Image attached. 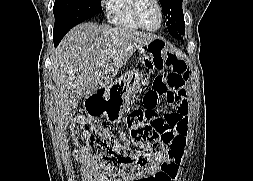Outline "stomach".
<instances>
[{
	"label": "stomach",
	"mask_w": 253,
	"mask_h": 181,
	"mask_svg": "<svg viewBox=\"0 0 253 181\" xmlns=\"http://www.w3.org/2000/svg\"><path fill=\"white\" fill-rule=\"evenodd\" d=\"M137 77L133 73L122 75L110 86L98 89L85 96L83 108L88 117H105L118 122L129 109L124 101L126 95L138 86Z\"/></svg>",
	"instance_id": "obj_1"
}]
</instances>
